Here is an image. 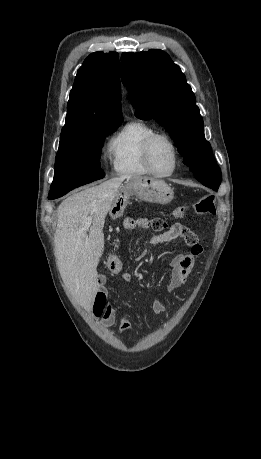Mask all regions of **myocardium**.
<instances>
[{"instance_id": "myocardium-1", "label": "myocardium", "mask_w": 261, "mask_h": 459, "mask_svg": "<svg viewBox=\"0 0 261 459\" xmlns=\"http://www.w3.org/2000/svg\"><path fill=\"white\" fill-rule=\"evenodd\" d=\"M158 140H165L170 147L172 148L173 155H174V166L172 170L168 173H159L157 172L152 164V150L154 144ZM143 159L146 167L148 168L150 174L159 177V178H166L172 176L178 169L179 163H180V157H179V150L178 147L175 143V141L167 134L164 133H154L151 136L147 138V140L144 143L143 147Z\"/></svg>"}]
</instances>
